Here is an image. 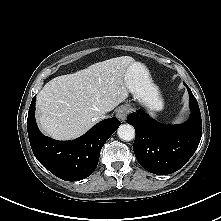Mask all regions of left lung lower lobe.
<instances>
[{
    "label": "left lung lower lobe",
    "mask_w": 221,
    "mask_h": 221,
    "mask_svg": "<svg viewBox=\"0 0 221 221\" xmlns=\"http://www.w3.org/2000/svg\"><path fill=\"white\" fill-rule=\"evenodd\" d=\"M189 91L192 110L188 121L163 125L143 111L131 113L128 124L136 131L133 150L137 161L147 171L158 175L176 172L196 151L202 136V121L196 98Z\"/></svg>",
    "instance_id": "left-lung-lower-lobe-1"
}]
</instances>
